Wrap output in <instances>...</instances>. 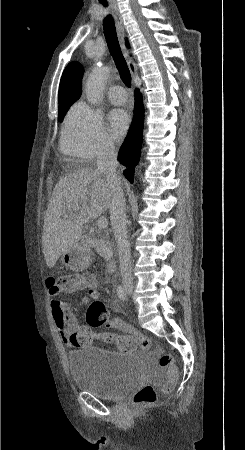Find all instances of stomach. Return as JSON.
Listing matches in <instances>:
<instances>
[{
	"mask_svg": "<svg viewBox=\"0 0 245 450\" xmlns=\"http://www.w3.org/2000/svg\"><path fill=\"white\" fill-rule=\"evenodd\" d=\"M61 261L66 267L79 271L88 266L90 256L88 250L76 242L62 255Z\"/></svg>",
	"mask_w": 245,
	"mask_h": 450,
	"instance_id": "stomach-1",
	"label": "stomach"
}]
</instances>
